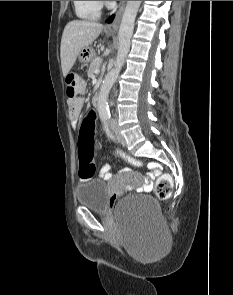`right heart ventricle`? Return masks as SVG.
Returning a JSON list of instances; mask_svg holds the SVG:
<instances>
[{"mask_svg": "<svg viewBox=\"0 0 233 295\" xmlns=\"http://www.w3.org/2000/svg\"><path fill=\"white\" fill-rule=\"evenodd\" d=\"M76 15L86 20H96L101 15V3L99 1H73Z\"/></svg>", "mask_w": 233, "mask_h": 295, "instance_id": "obj_1", "label": "right heart ventricle"}]
</instances>
